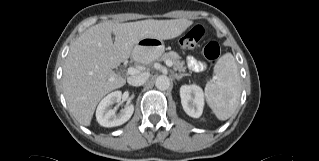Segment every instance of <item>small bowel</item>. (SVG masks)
Masks as SVG:
<instances>
[{"instance_id":"c3829d8e","label":"small bowel","mask_w":319,"mask_h":161,"mask_svg":"<svg viewBox=\"0 0 319 161\" xmlns=\"http://www.w3.org/2000/svg\"><path fill=\"white\" fill-rule=\"evenodd\" d=\"M187 64L193 70H199L203 67V63L193 56H188Z\"/></svg>"}]
</instances>
